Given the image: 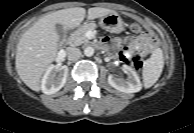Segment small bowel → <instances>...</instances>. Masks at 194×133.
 <instances>
[{
  "label": "small bowel",
  "instance_id": "small-bowel-1",
  "mask_svg": "<svg viewBox=\"0 0 194 133\" xmlns=\"http://www.w3.org/2000/svg\"><path fill=\"white\" fill-rule=\"evenodd\" d=\"M157 35L148 33L140 34L136 37H123L114 41L104 39L100 46L112 50L120 59L126 60L134 52L140 51L141 55H148L154 44L158 43Z\"/></svg>",
  "mask_w": 194,
  "mask_h": 133
}]
</instances>
